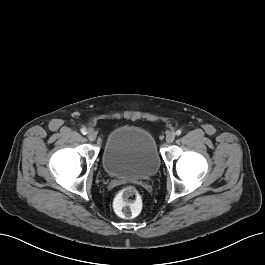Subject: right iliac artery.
Masks as SVG:
<instances>
[{"instance_id": "82829eb1", "label": "right iliac artery", "mask_w": 265, "mask_h": 265, "mask_svg": "<svg viewBox=\"0 0 265 265\" xmlns=\"http://www.w3.org/2000/svg\"><path fill=\"white\" fill-rule=\"evenodd\" d=\"M81 133L85 135V134H87V130L85 128H82Z\"/></svg>"}]
</instances>
